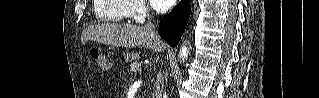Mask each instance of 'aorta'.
I'll return each mask as SVG.
<instances>
[{
	"mask_svg": "<svg viewBox=\"0 0 319 98\" xmlns=\"http://www.w3.org/2000/svg\"><path fill=\"white\" fill-rule=\"evenodd\" d=\"M189 54V48L186 44L182 45L180 48V52H179V58L181 59V61H185V59H187Z\"/></svg>",
	"mask_w": 319,
	"mask_h": 98,
	"instance_id": "aorta-1",
	"label": "aorta"
}]
</instances>
